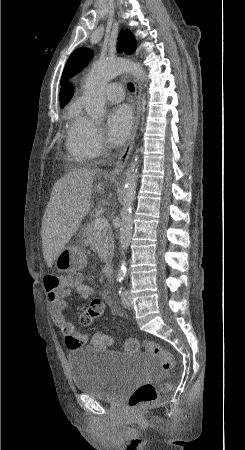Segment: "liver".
<instances>
[{"instance_id":"liver-1","label":"liver","mask_w":245,"mask_h":450,"mask_svg":"<svg viewBox=\"0 0 245 450\" xmlns=\"http://www.w3.org/2000/svg\"><path fill=\"white\" fill-rule=\"evenodd\" d=\"M95 173L93 169H73L54 184L41 227L43 255L48 267H52L90 212ZM103 190L98 183L96 191Z\"/></svg>"}]
</instances>
